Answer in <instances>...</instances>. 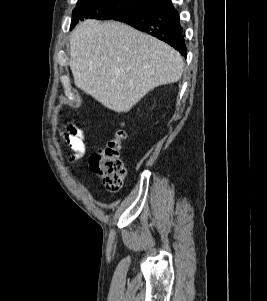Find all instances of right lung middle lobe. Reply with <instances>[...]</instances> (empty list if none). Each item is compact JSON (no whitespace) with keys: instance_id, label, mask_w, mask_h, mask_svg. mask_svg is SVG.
I'll list each match as a JSON object with an SVG mask.
<instances>
[{"instance_id":"dd1d6c3e","label":"right lung middle lobe","mask_w":267,"mask_h":301,"mask_svg":"<svg viewBox=\"0 0 267 301\" xmlns=\"http://www.w3.org/2000/svg\"><path fill=\"white\" fill-rule=\"evenodd\" d=\"M146 0H78L72 12L71 28L87 18L114 19L148 6Z\"/></svg>"}]
</instances>
